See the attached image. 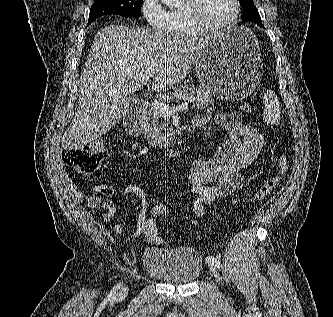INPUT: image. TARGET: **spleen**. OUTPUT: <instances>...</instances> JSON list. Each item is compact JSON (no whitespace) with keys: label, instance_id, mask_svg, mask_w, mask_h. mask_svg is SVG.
Wrapping results in <instances>:
<instances>
[{"label":"spleen","instance_id":"spleen-1","mask_svg":"<svg viewBox=\"0 0 333 317\" xmlns=\"http://www.w3.org/2000/svg\"><path fill=\"white\" fill-rule=\"evenodd\" d=\"M265 109L262 114L267 125H276L280 121L281 107L277 95L272 90H266L263 95Z\"/></svg>","mask_w":333,"mask_h":317}]
</instances>
